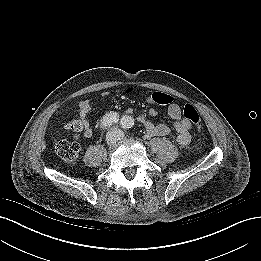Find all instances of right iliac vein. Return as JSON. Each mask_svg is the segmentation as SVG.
Returning <instances> with one entry per match:
<instances>
[{
  "instance_id": "1",
  "label": "right iliac vein",
  "mask_w": 261,
  "mask_h": 261,
  "mask_svg": "<svg viewBox=\"0 0 261 261\" xmlns=\"http://www.w3.org/2000/svg\"><path fill=\"white\" fill-rule=\"evenodd\" d=\"M116 141H117V135L112 132V133H109L106 137V142L109 146H113L116 144Z\"/></svg>"
}]
</instances>
